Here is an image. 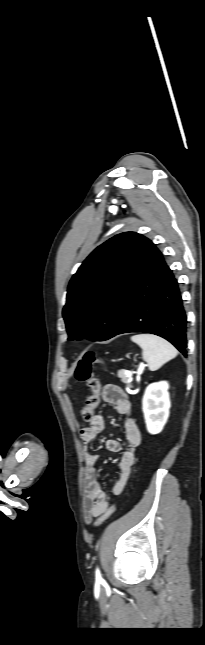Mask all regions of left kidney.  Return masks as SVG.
<instances>
[{"instance_id":"5707ae66","label":"left kidney","mask_w":205,"mask_h":645,"mask_svg":"<svg viewBox=\"0 0 205 645\" xmlns=\"http://www.w3.org/2000/svg\"><path fill=\"white\" fill-rule=\"evenodd\" d=\"M168 383L165 381L150 384L142 399L147 430L151 434H158L162 431L169 417L171 406Z\"/></svg>"}]
</instances>
